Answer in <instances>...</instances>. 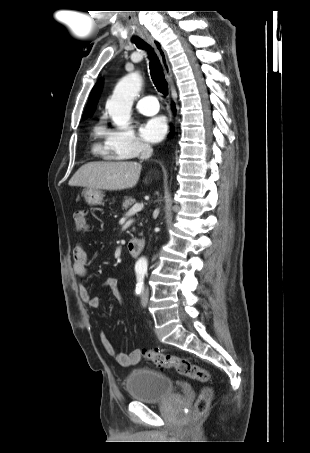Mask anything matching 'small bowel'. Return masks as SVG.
<instances>
[{
    "mask_svg": "<svg viewBox=\"0 0 310 453\" xmlns=\"http://www.w3.org/2000/svg\"><path fill=\"white\" fill-rule=\"evenodd\" d=\"M73 273L78 280L79 295L92 309H98L101 305L100 298L91 295L88 288L84 285L83 279L88 273V251L83 244H77L73 250ZM100 286L108 288L112 291L117 301H122L121 293L118 289V279L116 277L105 278ZM100 341L105 352L115 359V361L123 367H131L138 364L142 358V351L135 349L130 353L118 352L115 346L110 342L105 333H100Z\"/></svg>",
    "mask_w": 310,
    "mask_h": 453,
    "instance_id": "c3829d8e",
    "label": "small bowel"
}]
</instances>
